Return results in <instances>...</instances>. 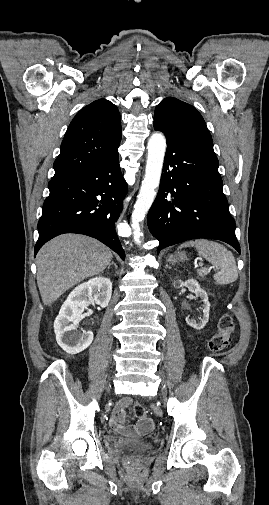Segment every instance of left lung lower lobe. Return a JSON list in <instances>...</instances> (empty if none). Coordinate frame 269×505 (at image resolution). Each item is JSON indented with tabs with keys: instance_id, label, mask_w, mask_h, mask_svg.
<instances>
[{
	"instance_id": "left-lung-lower-lobe-1",
	"label": "left lung lower lobe",
	"mask_w": 269,
	"mask_h": 505,
	"mask_svg": "<svg viewBox=\"0 0 269 505\" xmlns=\"http://www.w3.org/2000/svg\"><path fill=\"white\" fill-rule=\"evenodd\" d=\"M167 138L158 195L148 213V227L159 240L158 253L195 238L217 239L240 253L212 138L188 128L154 120Z\"/></svg>"
}]
</instances>
